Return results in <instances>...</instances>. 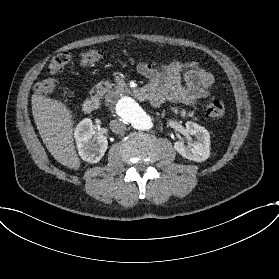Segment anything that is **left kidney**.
Instances as JSON below:
<instances>
[{"label":"left kidney","instance_id":"left-kidney-1","mask_svg":"<svg viewBox=\"0 0 279 279\" xmlns=\"http://www.w3.org/2000/svg\"><path fill=\"white\" fill-rule=\"evenodd\" d=\"M185 129L186 136H194L195 140H191L189 144H185L183 140L175 141L173 143L174 151L182 157L194 162L206 161L210 154L209 132L205 128L192 122H187Z\"/></svg>","mask_w":279,"mask_h":279}]
</instances>
